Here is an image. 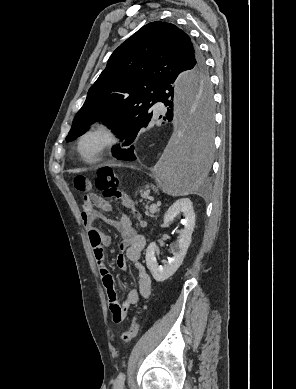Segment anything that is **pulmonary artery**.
<instances>
[{
  "instance_id": "obj_1",
  "label": "pulmonary artery",
  "mask_w": 296,
  "mask_h": 389,
  "mask_svg": "<svg viewBox=\"0 0 296 389\" xmlns=\"http://www.w3.org/2000/svg\"><path fill=\"white\" fill-rule=\"evenodd\" d=\"M154 107L156 110H160L163 107V104L161 102H157Z\"/></svg>"
}]
</instances>
